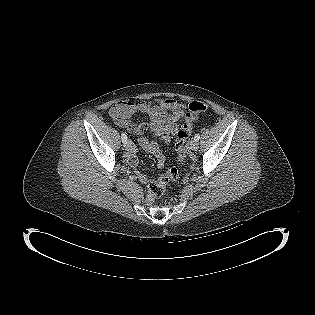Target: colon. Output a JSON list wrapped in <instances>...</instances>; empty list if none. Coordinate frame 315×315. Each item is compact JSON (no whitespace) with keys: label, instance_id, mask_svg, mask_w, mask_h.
I'll list each match as a JSON object with an SVG mask.
<instances>
[{"label":"colon","instance_id":"1","mask_svg":"<svg viewBox=\"0 0 315 315\" xmlns=\"http://www.w3.org/2000/svg\"><path fill=\"white\" fill-rule=\"evenodd\" d=\"M207 111V105L202 101H193L188 106V112L185 121L176 131L175 150L179 163H184L186 158V142L192 132L193 122L203 113ZM179 171L171 168L166 173L160 175L156 180L152 181L149 186V196L158 198L165 192L166 186L170 181L179 179Z\"/></svg>","mask_w":315,"mask_h":315}]
</instances>
